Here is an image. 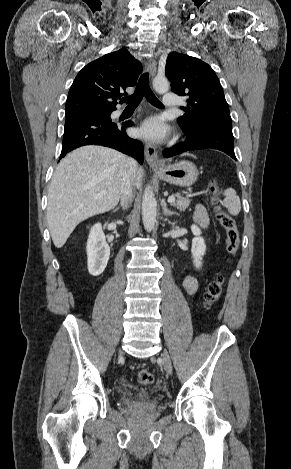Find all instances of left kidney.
Masks as SVG:
<instances>
[{
  "label": "left kidney",
  "mask_w": 291,
  "mask_h": 469,
  "mask_svg": "<svg viewBox=\"0 0 291 469\" xmlns=\"http://www.w3.org/2000/svg\"><path fill=\"white\" fill-rule=\"evenodd\" d=\"M192 233L195 237L192 240V248L191 253L193 257L194 266L199 269L202 265V257L206 252V245L204 239L200 236L201 230L198 226L192 225L191 226Z\"/></svg>",
  "instance_id": "left-kidney-1"
}]
</instances>
